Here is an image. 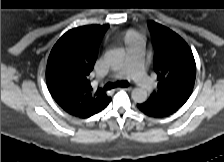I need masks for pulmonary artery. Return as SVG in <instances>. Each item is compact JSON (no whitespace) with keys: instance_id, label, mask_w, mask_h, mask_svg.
Returning <instances> with one entry per match:
<instances>
[{"instance_id":"pulmonary-artery-1","label":"pulmonary artery","mask_w":224,"mask_h":162,"mask_svg":"<svg viewBox=\"0 0 224 162\" xmlns=\"http://www.w3.org/2000/svg\"><path fill=\"white\" fill-rule=\"evenodd\" d=\"M112 80L131 78L135 83L144 88L154 86L153 79L148 76L144 68L143 41L141 38L131 40L127 45V58L121 69L110 74Z\"/></svg>"}]
</instances>
